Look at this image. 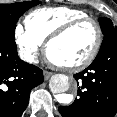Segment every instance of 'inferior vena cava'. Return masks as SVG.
Returning a JSON list of instances; mask_svg holds the SVG:
<instances>
[{"label":"inferior vena cava","instance_id":"602c4592","mask_svg":"<svg viewBox=\"0 0 117 117\" xmlns=\"http://www.w3.org/2000/svg\"><path fill=\"white\" fill-rule=\"evenodd\" d=\"M30 61L31 62H34V63H38V60L34 59V58H30Z\"/></svg>","mask_w":117,"mask_h":117}]
</instances>
